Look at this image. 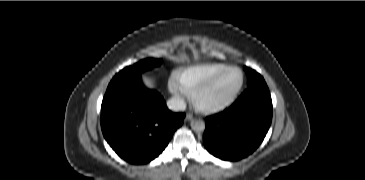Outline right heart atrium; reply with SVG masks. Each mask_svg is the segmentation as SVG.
<instances>
[{"instance_id":"right-heart-atrium-1","label":"right heart atrium","mask_w":365,"mask_h":180,"mask_svg":"<svg viewBox=\"0 0 365 180\" xmlns=\"http://www.w3.org/2000/svg\"><path fill=\"white\" fill-rule=\"evenodd\" d=\"M169 89L178 101H183L184 100V97H185L186 93L181 88V86H180V84H179L176 77H172L170 79Z\"/></svg>"}]
</instances>
